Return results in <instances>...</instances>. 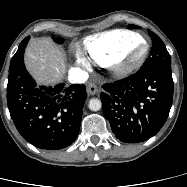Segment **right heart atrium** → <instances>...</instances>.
Segmentation results:
<instances>
[{"mask_svg": "<svg viewBox=\"0 0 187 187\" xmlns=\"http://www.w3.org/2000/svg\"><path fill=\"white\" fill-rule=\"evenodd\" d=\"M77 61L83 67H88L89 66L87 60L81 54L77 55Z\"/></svg>", "mask_w": 187, "mask_h": 187, "instance_id": "right-heart-atrium-1", "label": "right heart atrium"}]
</instances>
